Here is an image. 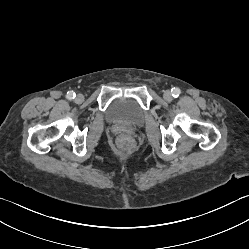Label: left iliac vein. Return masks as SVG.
Wrapping results in <instances>:
<instances>
[{
  "label": "left iliac vein",
  "mask_w": 249,
  "mask_h": 249,
  "mask_svg": "<svg viewBox=\"0 0 249 249\" xmlns=\"http://www.w3.org/2000/svg\"><path fill=\"white\" fill-rule=\"evenodd\" d=\"M163 97L166 101L170 102L172 101L173 97L170 91H165L163 94Z\"/></svg>",
  "instance_id": "4c4485c4"
}]
</instances>
